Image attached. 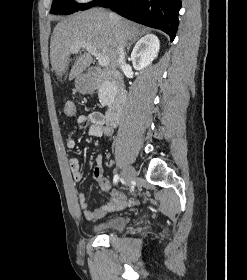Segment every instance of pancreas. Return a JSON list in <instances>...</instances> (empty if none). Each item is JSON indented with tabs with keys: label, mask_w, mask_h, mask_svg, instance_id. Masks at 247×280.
<instances>
[{
	"label": "pancreas",
	"mask_w": 247,
	"mask_h": 280,
	"mask_svg": "<svg viewBox=\"0 0 247 280\" xmlns=\"http://www.w3.org/2000/svg\"><path fill=\"white\" fill-rule=\"evenodd\" d=\"M98 97L102 105H107L113 97V84L104 82L99 88Z\"/></svg>",
	"instance_id": "cf45deb5"
}]
</instances>
